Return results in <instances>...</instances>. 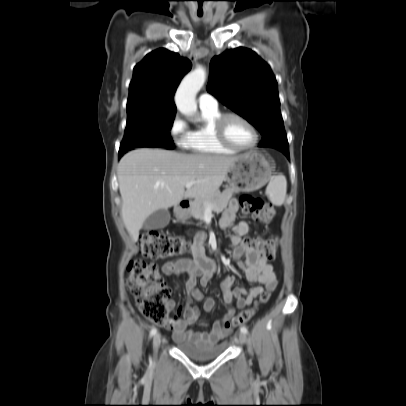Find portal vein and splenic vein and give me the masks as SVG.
I'll return each mask as SVG.
<instances>
[{"label": "portal vein and splenic vein", "mask_w": 406, "mask_h": 406, "mask_svg": "<svg viewBox=\"0 0 406 406\" xmlns=\"http://www.w3.org/2000/svg\"><path fill=\"white\" fill-rule=\"evenodd\" d=\"M194 183H195L194 181L186 183V188H191L194 185ZM205 207L207 211H210L212 209V205L208 203L205 204Z\"/></svg>", "instance_id": "1"}]
</instances>
